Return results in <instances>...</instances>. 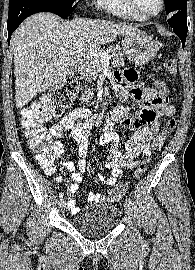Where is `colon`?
<instances>
[{"label": "colon", "instance_id": "obj_1", "mask_svg": "<svg viewBox=\"0 0 195 270\" xmlns=\"http://www.w3.org/2000/svg\"><path fill=\"white\" fill-rule=\"evenodd\" d=\"M165 69L171 75L177 72L176 63L173 59H168L164 63ZM83 82L78 78H70L64 83L52 88L37 101L24 108L20 114V125L29 145L35 150L40 164L50 173L54 171L55 160L62 153V146L58 142H53L49 133L43 127L45 120L51 117L62 115L66 108L70 106ZM158 96H168L167 86L163 81L155 84ZM177 125L176 118L167 120L163 129L159 132L156 145H162L172 134ZM149 157L138 165L134 177L139 179L147 169ZM128 185L121 183L115 188V193L120 196L126 192Z\"/></svg>", "mask_w": 195, "mask_h": 270}]
</instances>
